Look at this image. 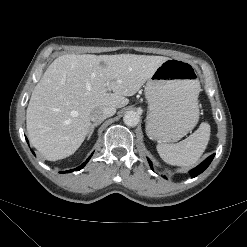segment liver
<instances>
[{
  "mask_svg": "<svg viewBox=\"0 0 247 247\" xmlns=\"http://www.w3.org/2000/svg\"><path fill=\"white\" fill-rule=\"evenodd\" d=\"M168 57L119 54L56 58L35 86L26 113L30 142L46 160L76 152L94 109L122 108Z\"/></svg>",
  "mask_w": 247,
  "mask_h": 247,
  "instance_id": "obj_1",
  "label": "liver"
}]
</instances>
